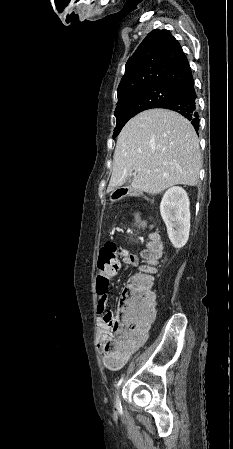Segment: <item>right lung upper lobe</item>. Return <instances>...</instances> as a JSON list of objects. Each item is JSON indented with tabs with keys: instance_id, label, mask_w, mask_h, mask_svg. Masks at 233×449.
<instances>
[{
	"instance_id": "cb5924a9",
	"label": "right lung upper lobe",
	"mask_w": 233,
	"mask_h": 449,
	"mask_svg": "<svg viewBox=\"0 0 233 449\" xmlns=\"http://www.w3.org/2000/svg\"><path fill=\"white\" fill-rule=\"evenodd\" d=\"M192 72L179 42L168 30H153L125 66L118 98L155 85L178 87L192 80Z\"/></svg>"
}]
</instances>
